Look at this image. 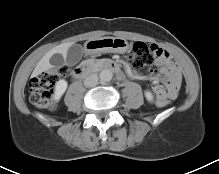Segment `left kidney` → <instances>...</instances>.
Wrapping results in <instances>:
<instances>
[{"label": "left kidney", "instance_id": "1", "mask_svg": "<svg viewBox=\"0 0 219 174\" xmlns=\"http://www.w3.org/2000/svg\"><path fill=\"white\" fill-rule=\"evenodd\" d=\"M145 97L149 102L153 101V95L150 91H145Z\"/></svg>", "mask_w": 219, "mask_h": 174}]
</instances>
